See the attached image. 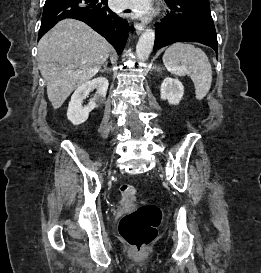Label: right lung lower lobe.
<instances>
[{"label": "right lung lower lobe", "instance_id": "98d812e1", "mask_svg": "<svg viewBox=\"0 0 261 273\" xmlns=\"http://www.w3.org/2000/svg\"><path fill=\"white\" fill-rule=\"evenodd\" d=\"M74 18L105 37L118 54L128 38V22L112 12L107 0H46L38 40L59 20Z\"/></svg>", "mask_w": 261, "mask_h": 273}]
</instances>
